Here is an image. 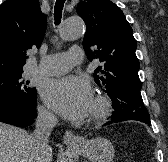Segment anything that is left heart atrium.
<instances>
[{
	"instance_id": "1",
	"label": "left heart atrium",
	"mask_w": 168,
	"mask_h": 162,
	"mask_svg": "<svg viewBox=\"0 0 168 162\" xmlns=\"http://www.w3.org/2000/svg\"><path fill=\"white\" fill-rule=\"evenodd\" d=\"M42 94L46 104L67 119L81 120L91 112L92 90L84 77L65 76L49 80Z\"/></svg>"
}]
</instances>
